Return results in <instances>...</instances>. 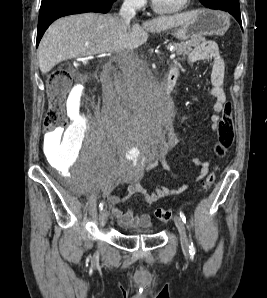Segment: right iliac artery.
Returning <instances> with one entry per match:
<instances>
[{"mask_svg":"<svg viewBox=\"0 0 267 298\" xmlns=\"http://www.w3.org/2000/svg\"><path fill=\"white\" fill-rule=\"evenodd\" d=\"M104 207V202L102 201L100 204H99V209L102 210Z\"/></svg>","mask_w":267,"mask_h":298,"instance_id":"right-iliac-artery-1","label":"right iliac artery"}]
</instances>
